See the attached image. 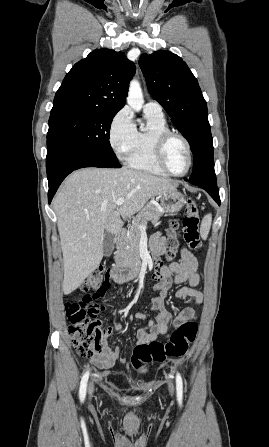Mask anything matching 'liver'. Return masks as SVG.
Returning a JSON list of instances; mask_svg holds the SVG:
<instances>
[{
  "label": "liver",
  "mask_w": 269,
  "mask_h": 447,
  "mask_svg": "<svg viewBox=\"0 0 269 447\" xmlns=\"http://www.w3.org/2000/svg\"><path fill=\"white\" fill-rule=\"evenodd\" d=\"M171 180L128 168H83L57 192L54 210L64 261V293H71L97 269L103 257L104 229L118 233L131 218L163 192H175ZM119 198L124 204L117 206Z\"/></svg>",
  "instance_id": "1"
}]
</instances>
